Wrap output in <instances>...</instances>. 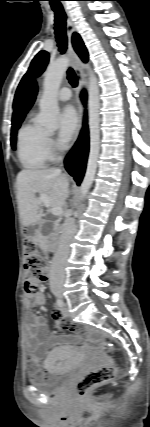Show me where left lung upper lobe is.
I'll return each instance as SVG.
<instances>
[{"instance_id": "5c2ea615", "label": "left lung upper lobe", "mask_w": 150, "mask_h": 427, "mask_svg": "<svg viewBox=\"0 0 150 427\" xmlns=\"http://www.w3.org/2000/svg\"><path fill=\"white\" fill-rule=\"evenodd\" d=\"M48 59H49V54L46 51H40L32 60L31 64H30V68L29 71L27 72V74H25V76L22 78L17 91H16V95H15V101L16 98L18 96V93L25 81V79L27 78L28 74H33L35 76H39L46 68V65L48 64ZM15 101H14V106H15Z\"/></svg>"}]
</instances>
